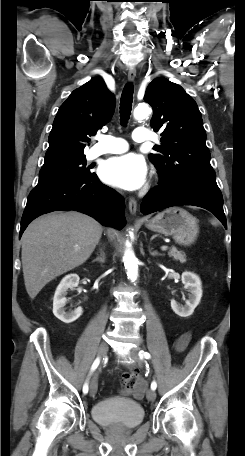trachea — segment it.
<instances>
[{
    "label": "trachea",
    "instance_id": "3493384b",
    "mask_svg": "<svg viewBox=\"0 0 245 456\" xmlns=\"http://www.w3.org/2000/svg\"><path fill=\"white\" fill-rule=\"evenodd\" d=\"M132 100H133V85L128 83L121 94L120 99V117L121 124L124 126L127 124L131 110H132Z\"/></svg>",
    "mask_w": 245,
    "mask_h": 456
}]
</instances>
